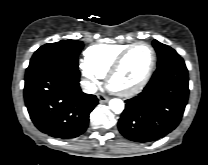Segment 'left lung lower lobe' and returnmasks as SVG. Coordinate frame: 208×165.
Segmentation results:
<instances>
[{
	"label": "left lung lower lobe",
	"instance_id": "0a47b994",
	"mask_svg": "<svg viewBox=\"0 0 208 165\" xmlns=\"http://www.w3.org/2000/svg\"><path fill=\"white\" fill-rule=\"evenodd\" d=\"M188 70L180 56L158 65L151 80L126 100L118 122L120 133L135 142L160 139L180 123L188 102Z\"/></svg>",
	"mask_w": 208,
	"mask_h": 165
}]
</instances>
